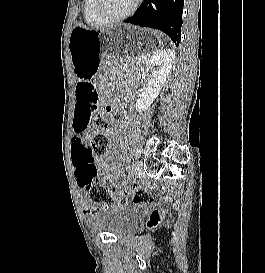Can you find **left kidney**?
Segmentation results:
<instances>
[{
  "instance_id": "1",
  "label": "left kidney",
  "mask_w": 265,
  "mask_h": 273,
  "mask_svg": "<svg viewBox=\"0 0 265 273\" xmlns=\"http://www.w3.org/2000/svg\"><path fill=\"white\" fill-rule=\"evenodd\" d=\"M176 53L171 49L156 51L147 61L146 67L152 72L136 101V110L143 112L147 110L159 95L166 78L168 77Z\"/></svg>"
}]
</instances>
